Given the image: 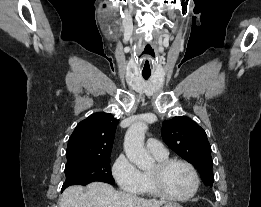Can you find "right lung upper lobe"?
<instances>
[{"label": "right lung upper lobe", "instance_id": "1", "mask_svg": "<svg viewBox=\"0 0 261 207\" xmlns=\"http://www.w3.org/2000/svg\"><path fill=\"white\" fill-rule=\"evenodd\" d=\"M117 124L112 114L101 112L78 123L68 141L67 162L111 156Z\"/></svg>", "mask_w": 261, "mask_h": 207}]
</instances>
